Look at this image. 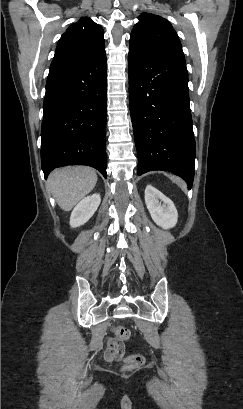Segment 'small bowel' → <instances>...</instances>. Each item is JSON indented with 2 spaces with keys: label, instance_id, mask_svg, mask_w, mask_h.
Segmentation results:
<instances>
[{
  "label": "small bowel",
  "instance_id": "c3829d8e",
  "mask_svg": "<svg viewBox=\"0 0 243 409\" xmlns=\"http://www.w3.org/2000/svg\"><path fill=\"white\" fill-rule=\"evenodd\" d=\"M125 350L116 337H109L104 349V358L109 362L121 361L124 357Z\"/></svg>",
  "mask_w": 243,
  "mask_h": 409
}]
</instances>
